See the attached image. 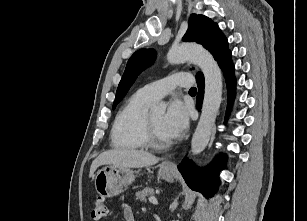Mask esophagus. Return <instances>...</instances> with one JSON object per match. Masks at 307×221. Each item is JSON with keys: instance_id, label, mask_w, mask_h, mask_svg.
Instances as JSON below:
<instances>
[{"instance_id": "1", "label": "esophagus", "mask_w": 307, "mask_h": 221, "mask_svg": "<svg viewBox=\"0 0 307 221\" xmlns=\"http://www.w3.org/2000/svg\"><path fill=\"white\" fill-rule=\"evenodd\" d=\"M166 165L169 166V167H175V164L172 163V162H166Z\"/></svg>"}]
</instances>
